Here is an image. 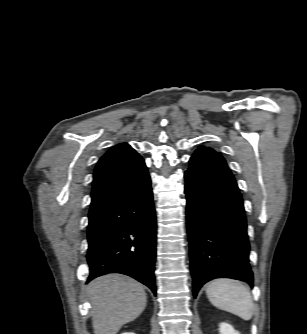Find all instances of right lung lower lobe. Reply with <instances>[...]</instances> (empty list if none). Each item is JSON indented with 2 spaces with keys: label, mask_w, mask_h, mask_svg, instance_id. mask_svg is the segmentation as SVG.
Returning <instances> with one entry per match:
<instances>
[{
  "label": "right lung lower lobe",
  "mask_w": 307,
  "mask_h": 334,
  "mask_svg": "<svg viewBox=\"0 0 307 334\" xmlns=\"http://www.w3.org/2000/svg\"><path fill=\"white\" fill-rule=\"evenodd\" d=\"M87 261L92 279L122 273L156 295V217L150 177L89 215Z\"/></svg>",
  "instance_id": "right-lung-lower-lobe-1"
}]
</instances>
